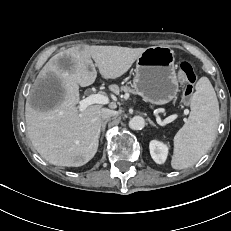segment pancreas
<instances>
[{"mask_svg":"<svg viewBox=\"0 0 231 231\" xmlns=\"http://www.w3.org/2000/svg\"><path fill=\"white\" fill-rule=\"evenodd\" d=\"M121 90L122 91H124V92H130V93H134V90L133 89H131L130 87H128V86H123V87H121Z\"/></svg>","mask_w":231,"mask_h":231,"instance_id":"1","label":"pancreas"}]
</instances>
